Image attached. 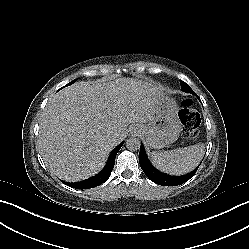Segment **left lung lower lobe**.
Masks as SVG:
<instances>
[{
	"mask_svg": "<svg viewBox=\"0 0 249 249\" xmlns=\"http://www.w3.org/2000/svg\"><path fill=\"white\" fill-rule=\"evenodd\" d=\"M139 162L142 170L144 173L148 176V178L153 181L156 184L163 185V186H175L184 183L189 178H191L195 172H191L187 175L181 176V177H172L166 174H163L159 171H157L148 161L145 150L143 148V145L141 144L140 153H139ZM182 178L183 180L179 181V183H175L174 179ZM184 181V182H182Z\"/></svg>",
	"mask_w": 249,
	"mask_h": 249,
	"instance_id": "0a47b994",
	"label": "left lung lower lobe"
}]
</instances>
